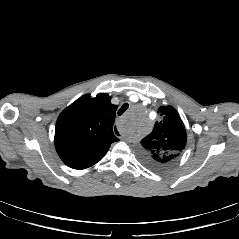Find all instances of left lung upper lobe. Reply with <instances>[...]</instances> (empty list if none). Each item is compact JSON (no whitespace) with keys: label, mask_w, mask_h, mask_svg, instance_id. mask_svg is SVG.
Listing matches in <instances>:
<instances>
[{"label":"left lung upper lobe","mask_w":239,"mask_h":239,"mask_svg":"<svg viewBox=\"0 0 239 239\" xmlns=\"http://www.w3.org/2000/svg\"><path fill=\"white\" fill-rule=\"evenodd\" d=\"M158 113L160 120L141 141V159L148 167L163 170L181 156L187 134L178 112L172 106H161Z\"/></svg>","instance_id":"5c2ea615"}]
</instances>
